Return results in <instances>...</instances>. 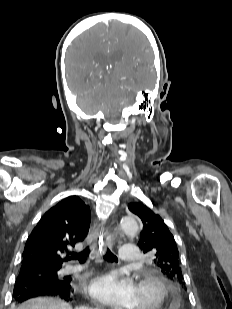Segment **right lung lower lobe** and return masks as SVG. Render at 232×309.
I'll use <instances>...</instances> for the list:
<instances>
[{
	"mask_svg": "<svg viewBox=\"0 0 232 309\" xmlns=\"http://www.w3.org/2000/svg\"><path fill=\"white\" fill-rule=\"evenodd\" d=\"M33 270L32 265L22 264L20 273L34 274ZM45 295L59 296L66 301H71L73 299V289L70 284V278H65L63 281L50 285L17 278L13 292L14 301L22 303L28 299Z\"/></svg>",
	"mask_w": 232,
	"mask_h": 309,
	"instance_id": "1",
	"label": "right lung lower lobe"
}]
</instances>
